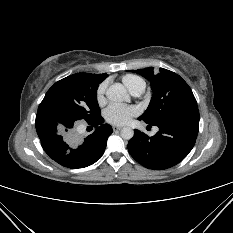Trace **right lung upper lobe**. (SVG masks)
I'll list each match as a JSON object with an SVG mask.
<instances>
[{"mask_svg": "<svg viewBox=\"0 0 233 233\" xmlns=\"http://www.w3.org/2000/svg\"><path fill=\"white\" fill-rule=\"evenodd\" d=\"M88 74L98 83L102 82L108 76V74H106V73H104V74H90V73H88Z\"/></svg>", "mask_w": 233, "mask_h": 233, "instance_id": "1", "label": "right lung upper lobe"}]
</instances>
